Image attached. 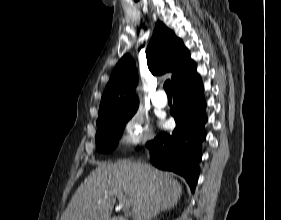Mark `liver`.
Masks as SVG:
<instances>
[{"label": "liver", "mask_w": 281, "mask_h": 220, "mask_svg": "<svg viewBox=\"0 0 281 220\" xmlns=\"http://www.w3.org/2000/svg\"><path fill=\"white\" fill-rule=\"evenodd\" d=\"M114 191L131 200L133 220H151L177 204L182 186L149 164L128 160L101 163L78 187L61 220H111Z\"/></svg>", "instance_id": "1"}]
</instances>
